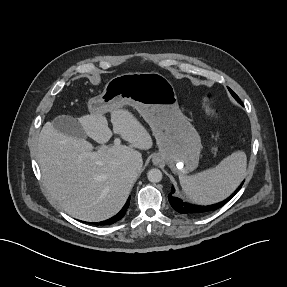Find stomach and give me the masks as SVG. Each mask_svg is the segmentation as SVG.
<instances>
[{
	"mask_svg": "<svg viewBox=\"0 0 287 287\" xmlns=\"http://www.w3.org/2000/svg\"><path fill=\"white\" fill-rule=\"evenodd\" d=\"M135 108L149 124L159 148L153 163H166L173 173L197 168L201 139L179 109L171 82L157 72L126 73L110 79L102 94L89 101L92 113Z\"/></svg>",
	"mask_w": 287,
	"mask_h": 287,
	"instance_id": "0dacf381",
	"label": "stomach"
}]
</instances>
